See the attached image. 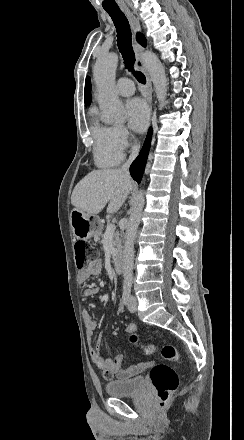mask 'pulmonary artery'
I'll list each match as a JSON object with an SVG mask.
<instances>
[{
	"label": "pulmonary artery",
	"mask_w": 244,
	"mask_h": 440,
	"mask_svg": "<svg viewBox=\"0 0 244 440\" xmlns=\"http://www.w3.org/2000/svg\"><path fill=\"white\" fill-rule=\"evenodd\" d=\"M117 90L122 96L128 97L134 95V84L131 82L130 75H119Z\"/></svg>",
	"instance_id": "pulmonary-artery-1"
}]
</instances>
